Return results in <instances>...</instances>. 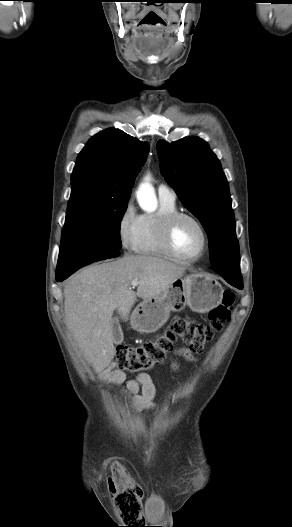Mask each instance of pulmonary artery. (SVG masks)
I'll return each mask as SVG.
<instances>
[{"label":"pulmonary artery","instance_id":"1","mask_svg":"<svg viewBox=\"0 0 292 527\" xmlns=\"http://www.w3.org/2000/svg\"><path fill=\"white\" fill-rule=\"evenodd\" d=\"M158 193H159V196H161V197H167V198H171V199H175L176 198L175 191L172 188H170L169 186L165 185V184H160L158 186Z\"/></svg>","mask_w":292,"mask_h":527}]
</instances>
